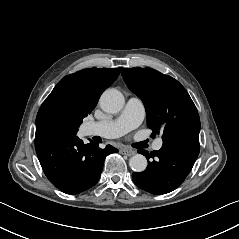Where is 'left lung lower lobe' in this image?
Masks as SVG:
<instances>
[{
  "mask_svg": "<svg viewBox=\"0 0 239 239\" xmlns=\"http://www.w3.org/2000/svg\"><path fill=\"white\" fill-rule=\"evenodd\" d=\"M199 138L182 136L163 141L159 151L146 156L148 166L143 172H134L132 179L141 189L152 194H166L181 185L191 171L199 154ZM152 158L150 161L149 159Z\"/></svg>",
  "mask_w": 239,
  "mask_h": 239,
  "instance_id": "left-lung-lower-lobe-1",
  "label": "left lung lower lobe"
}]
</instances>
